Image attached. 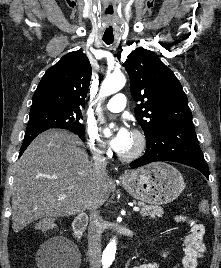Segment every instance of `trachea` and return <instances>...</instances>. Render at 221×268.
<instances>
[{
  "label": "trachea",
  "instance_id": "1",
  "mask_svg": "<svg viewBox=\"0 0 221 268\" xmlns=\"http://www.w3.org/2000/svg\"><path fill=\"white\" fill-rule=\"evenodd\" d=\"M103 41L107 44L110 45L113 43V39H103Z\"/></svg>",
  "mask_w": 221,
  "mask_h": 268
}]
</instances>
